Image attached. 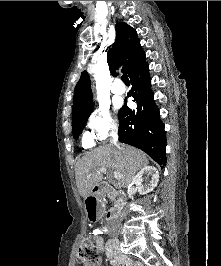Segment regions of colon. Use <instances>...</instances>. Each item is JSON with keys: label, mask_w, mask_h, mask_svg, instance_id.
I'll return each instance as SVG.
<instances>
[{"label": "colon", "mask_w": 221, "mask_h": 266, "mask_svg": "<svg viewBox=\"0 0 221 266\" xmlns=\"http://www.w3.org/2000/svg\"><path fill=\"white\" fill-rule=\"evenodd\" d=\"M77 256L78 259L83 262H92L96 260L97 249L93 241L88 236L82 238L78 248Z\"/></svg>", "instance_id": "colon-1"}]
</instances>
